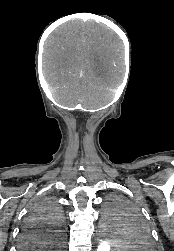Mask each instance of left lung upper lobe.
Wrapping results in <instances>:
<instances>
[{"instance_id": "1", "label": "left lung upper lobe", "mask_w": 174, "mask_h": 251, "mask_svg": "<svg viewBox=\"0 0 174 251\" xmlns=\"http://www.w3.org/2000/svg\"><path fill=\"white\" fill-rule=\"evenodd\" d=\"M107 214L111 226H114L118 222L117 220L123 222V228L127 232L130 244L135 250H153L150 231L133 206L121 197L113 196L107 200Z\"/></svg>"}]
</instances>
